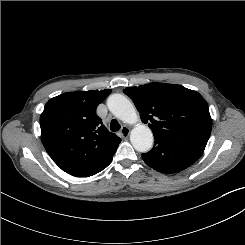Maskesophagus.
<instances>
[{
    "label": "esophagus",
    "mask_w": 245,
    "mask_h": 245,
    "mask_svg": "<svg viewBox=\"0 0 245 245\" xmlns=\"http://www.w3.org/2000/svg\"><path fill=\"white\" fill-rule=\"evenodd\" d=\"M120 134H121V136H122L123 138H127V137L129 136V134H130V128L127 127V126H123V127L121 128Z\"/></svg>",
    "instance_id": "obj_1"
}]
</instances>
